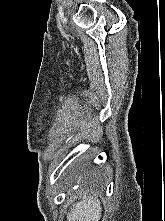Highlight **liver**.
I'll return each instance as SVG.
<instances>
[{"mask_svg":"<svg viewBox=\"0 0 165 221\" xmlns=\"http://www.w3.org/2000/svg\"><path fill=\"white\" fill-rule=\"evenodd\" d=\"M102 208L99 200L86 197L72 205L67 221H99Z\"/></svg>","mask_w":165,"mask_h":221,"instance_id":"liver-1","label":"liver"}]
</instances>
